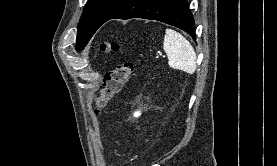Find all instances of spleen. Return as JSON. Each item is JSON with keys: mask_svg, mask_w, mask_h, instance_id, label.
Listing matches in <instances>:
<instances>
[{"mask_svg": "<svg viewBox=\"0 0 277 166\" xmlns=\"http://www.w3.org/2000/svg\"><path fill=\"white\" fill-rule=\"evenodd\" d=\"M163 49L168 57V64L173 69H178L192 74L196 70V53L190 42L180 33L166 29Z\"/></svg>", "mask_w": 277, "mask_h": 166, "instance_id": "spleen-1", "label": "spleen"}]
</instances>
